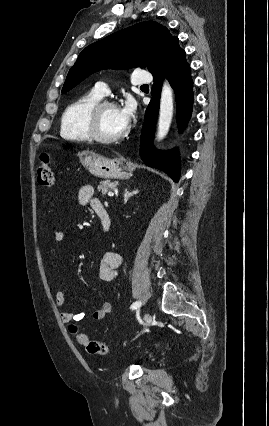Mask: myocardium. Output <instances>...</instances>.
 Masks as SVG:
<instances>
[{
    "mask_svg": "<svg viewBox=\"0 0 269 426\" xmlns=\"http://www.w3.org/2000/svg\"><path fill=\"white\" fill-rule=\"evenodd\" d=\"M107 107H116L117 104L110 100L101 99L95 103L87 114V129L91 136V139L103 143V144H114L122 141L129 134V127L126 126L125 130L116 137H104L99 130V118L101 112Z\"/></svg>",
    "mask_w": 269,
    "mask_h": 426,
    "instance_id": "1",
    "label": "myocardium"
}]
</instances>
